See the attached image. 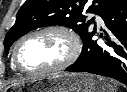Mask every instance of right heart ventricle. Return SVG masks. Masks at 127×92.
<instances>
[{
  "instance_id": "e07e8e85",
  "label": "right heart ventricle",
  "mask_w": 127,
  "mask_h": 92,
  "mask_svg": "<svg viewBox=\"0 0 127 92\" xmlns=\"http://www.w3.org/2000/svg\"><path fill=\"white\" fill-rule=\"evenodd\" d=\"M12 69L13 70H17V68L15 67V65L13 64V62L11 63Z\"/></svg>"
}]
</instances>
